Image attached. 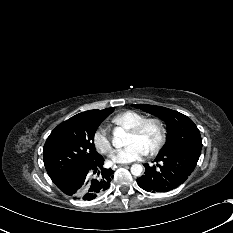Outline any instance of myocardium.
<instances>
[{"label":"myocardium","instance_id":"f54148a6","mask_svg":"<svg viewBox=\"0 0 233 233\" xmlns=\"http://www.w3.org/2000/svg\"><path fill=\"white\" fill-rule=\"evenodd\" d=\"M154 124L158 128V138L155 144L147 151V154L152 156L159 152V150L163 147L165 141H166V136H167V130H166V125L162 119L159 117H150V118H145L142 120L140 123L137 125L133 126L132 128L129 129V132L139 135L141 134L145 128L150 125Z\"/></svg>","mask_w":233,"mask_h":233}]
</instances>
